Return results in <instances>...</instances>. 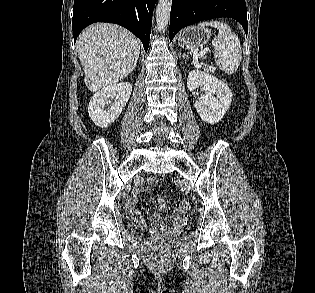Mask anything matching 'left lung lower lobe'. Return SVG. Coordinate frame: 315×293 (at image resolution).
<instances>
[{"label": "left lung lower lobe", "instance_id": "1", "mask_svg": "<svg viewBox=\"0 0 315 293\" xmlns=\"http://www.w3.org/2000/svg\"><path fill=\"white\" fill-rule=\"evenodd\" d=\"M230 17L248 32L245 0H173L170 13V41L176 33L196 22Z\"/></svg>", "mask_w": 315, "mask_h": 293}]
</instances>
